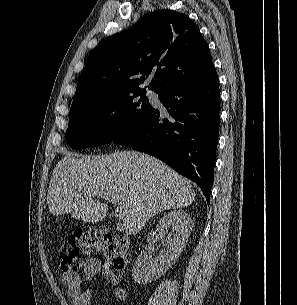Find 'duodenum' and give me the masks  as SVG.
Here are the masks:
<instances>
[{
    "mask_svg": "<svg viewBox=\"0 0 297 305\" xmlns=\"http://www.w3.org/2000/svg\"><path fill=\"white\" fill-rule=\"evenodd\" d=\"M118 228H119V229L123 228V225H118ZM126 240H127V242L129 243V239L127 238Z\"/></svg>",
    "mask_w": 297,
    "mask_h": 305,
    "instance_id": "duodenum-1",
    "label": "duodenum"
}]
</instances>
